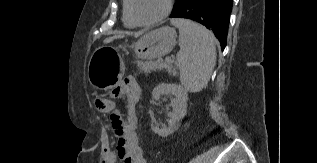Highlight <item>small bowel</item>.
Masks as SVG:
<instances>
[{
    "label": "small bowel",
    "mask_w": 317,
    "mask_h": 163,
    "mask_svg": "<svg viewBox=\"0 0 317 163\" xmlns=\"http://www.w3.org/2000/svg\"><path fill=\"white\" fill-rule=\"evenodd\" d=\"M113 94L118 98L126 99L128 118L121 131H115L117 135L115 148L110 142L105 145L102 163H146L135 131V105L140 99V87L135 79L126 78L115 87Z\"/></svg>",
    "instance_id": "c3829d8e"
}]
</instances>
